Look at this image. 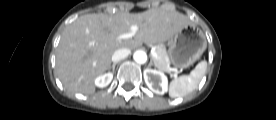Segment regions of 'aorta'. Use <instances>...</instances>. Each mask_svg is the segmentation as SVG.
<instances>
[{"instance_id": "obj_1", "label": "aorta", "mask_w": 276, "mask_h": 120, "mask_svg": "<svg viewBox=\"0 0 276 120\" xmlns=\"http://www.w3.org/2000/svg\"><path fill=\"white\" fill-rule=\"evenodd\" d=\"M133 59L139 64H144L147 61V54L142 50H137L133 55Z\"/></svg>"}]
</instances>
